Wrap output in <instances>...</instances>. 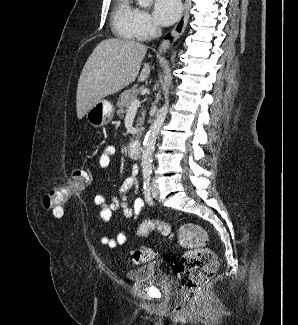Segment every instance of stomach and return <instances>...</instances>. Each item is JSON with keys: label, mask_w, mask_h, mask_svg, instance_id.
<instances>
[{"label": "stomach", "mask_w": 298, "mask_h": 325, "mask_svg": "<svg viewBox=\"0 0 298 325\" xmlns=\"http://www.w3.org/2000/svg\"><path fill=\"white\" fill-rule=\"evenodd\" d=\"M115 112V106L111 100H100L97 104H93L90 110L86 112V118L93 126H105L112 120Z\"/></svg>", "instance_id": "0dacf381"}]
</instances>
